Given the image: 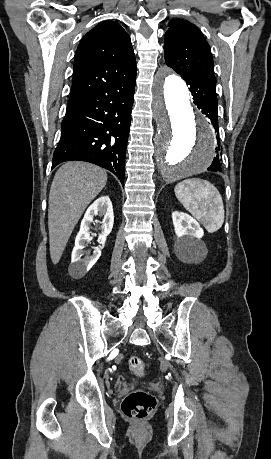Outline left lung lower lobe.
<instances>
[{"label": "left lung lower lobe", "mask_w": 271, "mask_h": 459, "mask_svg": "<svg viewBox=\"0 0 271 459\" xmlns=\"http://www.w3.org/2000/svg\"><path fill=\"white\" fill-rule=\"evenodd\" d=\"M182 78L190 85L195 105L202 110V113L211 120L215 129L217 146L215 157L208 171L222 172V147L219 142V128L217 116L216 78L215 76L185 77Z\"/></svg>", "instance_id": "obj_1"}]
</instances>
